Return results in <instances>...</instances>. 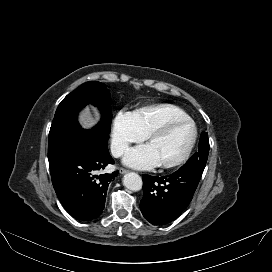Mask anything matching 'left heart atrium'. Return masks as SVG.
I'll return each instance as SVG.
<instances>
[{
  "label": "left heart atrium",
  "instance_id": "obj_1",
  "mask_svg": "<svg viewBox=\"0 0 272 272\" xmlns=\"http://www.w3.org/2000/svg\"><path fill=\"white\" fill-rule=\"evenodd\" d=\"M124 163L137 169H146L159 164L156 155L149 145L139 146L130 150L124 157Z\"/></svg>",
  "mask_w": 272,
  "mask_h": 272
}]
</instances>
